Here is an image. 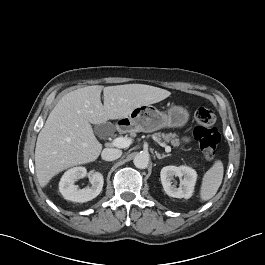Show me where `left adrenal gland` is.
Listing matches in <instances>:
<instances>
[{"label": "left adrenal gland", "mask_w": 265, "mask_h": 265, "mask_svg": "<svg viewBox=\"0 0 265 265\" xmlns=\"http://www.w3.org/2000/svg\"><path fill=\"white\" fill-rule=\"evenodd\" d=\"M155 154L157 156L158 159H163L165 157L171 156V154H159L157 151H155Z\"/></svg>", "instance_id": "left-adrenal-gland-1"}]
</instances>
